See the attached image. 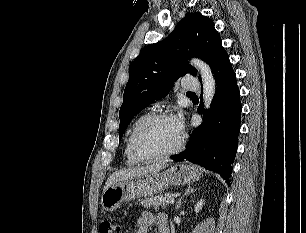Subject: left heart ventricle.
<instances>
[{
    "mask_svg": "<svg viewBox=\"0 0 306 233\" xmlns=\"http://www.w3.org/2000/svg\"><path fill=\"white\" fill-rule=\"evenodd\" d=\"M178 133L172 118L159 120L148 127L141 137V147L150 152L171 150L178 142Z\"/></svg>",
    "mask_w": 306,
    "mask_h": 233,
    "instance_id": "b2bd125f",
    "label": "left heart ventricle"
}]
</instances>
